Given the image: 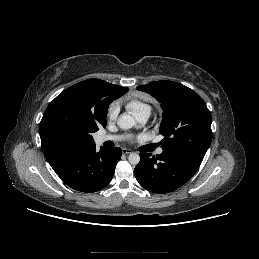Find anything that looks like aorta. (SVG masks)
<instances>
[{"mask_svg":"<svg viewBox=\"0 0 259 259\" xmlns=\"http://www.w3.org/2000/svg\"><path fill=\"white\" fill-rule=\"evenodd\" d=\"M135 123L136 122H135L134 118L127 113L121 114L117 120L118 126L124 130L131 129L135 125ZM128 161L132 165H137L140 161L139 154L131 153L128 157Z\"/></svg>","mask_w":259,"mask_h":259,"instance_id":"aorta-1","label":"aorta"}]
</instances>
